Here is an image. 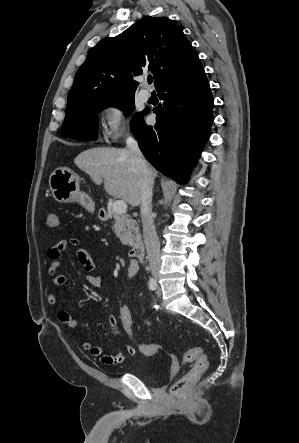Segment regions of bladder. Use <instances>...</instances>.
Wrapping results in <instances>:
<instances>
[{
  "label": "bladder",
  "instance_id": "1",
  "mask_svg": "<svg viewBox=\"0 0 299 443\" xmlns=\"http://www.w3.org/2000/svg\"><path fill=\"white\" fill-rule=\"evenodd\" d=\"M143 364L144 362H140V364L133 369L132 374L136 375L146 384L155 386L162 383L168 377V371L157 373L154 370L148 369Z\"/></svg>",
  "mask_w": 299,
  "mask_h": 443
}]
</instances>
